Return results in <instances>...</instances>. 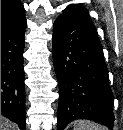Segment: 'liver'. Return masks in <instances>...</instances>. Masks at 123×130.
<instances>
[{
	"label": "liver",
	"mask_w": 123,
	"mask_h": 130,
	"mask_svg": "<svg viewBox=\"0 0 123 130\" xmlns=\"http://www.w3.org/2000/svg\"><path fill=\"white\" fill-rule=\"evenodd\" d=\"M17 126L12 125L11 121L1 115V130L16 129Z\"/></svg>",
	"instance_id": "6515ba94"
}]
</instances>
